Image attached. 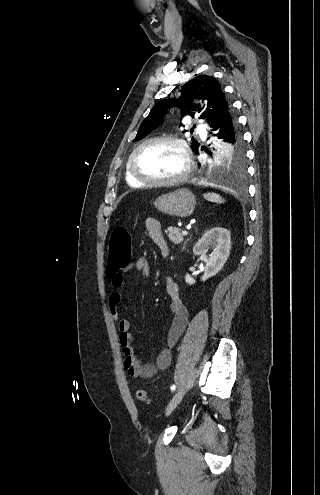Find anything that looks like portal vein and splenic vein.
<instances>
[{
    "label": "portal vein and splenic vein",
    "instance_id": "18ae733b",
    "mask_svg": "<svg viewBox=\"0 0 320 495\" xmlns=\"http://www.w3.org/2000/svg\"><path fill=\"white\" fill-rule=\"evenodd\" d=\"M182 235H188L187 231H182Z\"/></svg>",
    "mask_w": 320,
    "mask_h": 495
}]
</instances>
